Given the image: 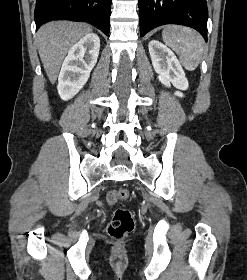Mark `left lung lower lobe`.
Returning a JSON list of instances; mask_svg holds the SVG:
<instances>
[{
	"mask_svg": "<svg viewBox=\"0 0 247 280\" xmlns=\"http://www.w3.org/2000/svg\"><path fill=\"white\" fill-rule=\"evenodd\" d=\"M140 35L164 24L196 29L207 41L206 0H139Z\"/></svg>",
	"mask_w": 247,
	"mask_h": 280,
	"instance_id": "obj_1",
	"label": "left lung lower lobe"
}]
</instances>
